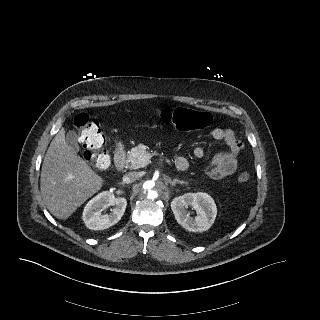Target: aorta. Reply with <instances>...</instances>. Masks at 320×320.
Wrapping results in <instances>:
<instances>
[{
  "label": "aorta",
  "instance_id": "aorta-1",
  "mask_svg": "<svg viewBox=\"0 0 320 320\" xmlns=\"http://www.w3.org/2000/svg\"><path fill=\"white\" fill-rule=\"evenodd\" d=\"M161 187L162 182L159 179L149 178L142 183L141 194L143 198L154 201L160 196Z\"/></svg>",
  "mask_w": 320,
  "mask_h": 320
}]
</instances>
